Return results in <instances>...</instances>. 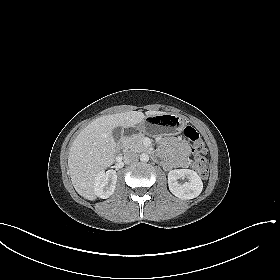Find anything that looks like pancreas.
<instances>
[{"label":"pancreas","mask_w":280,"mask_h":280,"mask_svg":"<svg viewBox=\"0 0 280 280\" xmlns=\"http://www.w3.org/2000/svg\"><path fill=\"white\" fill-rule=\"evenodd\" d=\"M144 135L138 134L133 137L128 138L125 141L124 147L132 152L141 153L147 150L143 145Z\"/></svg>","instance_id":"obj_1"}]
</instances>
